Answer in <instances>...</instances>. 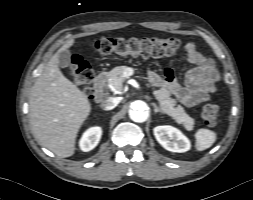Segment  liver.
Wrapping results in <instances>:
<instances>
[{"label":"liver","instance_id":"liver-1","mask_svg":"<svg viewBox=\"0 0 253 200\" xmlns=\"http://www.w3.org/2000/svg\"><path fill=\"white\" fill-rule=\"evenodd\" d=\"M73 40L60 51L66 50ZM58 56L52 57L47 67L46 82L41 96L33 102L34 117L39 119L37 127L44 145L60 156H72L76 137L91 112V103L86 94L65 78L58 69ZM42 100V102H39Z\"/></svg>","mask_w":253,"mask_h":200}]
</instances>
